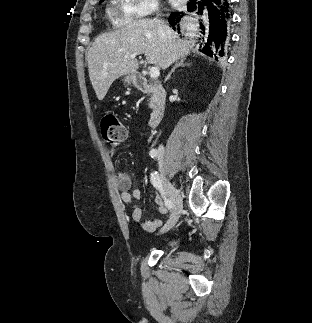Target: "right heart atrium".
<instances>
[{
    "mask_svg": "<svg viewBox=\"0 0 312 323\" xmlns=\"http://www.w3.org/2000/svg\"><path fill=\"white\" fill-rule=\"evenodd\" d=\"M123 17H133L135 22L140 17H153L154 13H160L163 9V2L160 0H126L121 2Z\"/></svg>",
    "mask_w": 312,
    "mask_h": 323,
    "instance_id": "1",
    "label": "right heart atrium"
}]
</instances>
